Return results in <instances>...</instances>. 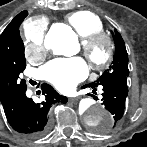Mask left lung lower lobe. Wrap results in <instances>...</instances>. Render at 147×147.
Instances as JSON below:
<instances>
[{
    "instance_id": "1",
    "label": "left lung lower lobe",
    "mask_w": 147,
    "mask_h": 147,
    "mask_svg": "<svg viewBox=\"0 0 147 147\" xmlns=\"http://www.w3.org/2000/svg\"><path fill=\"white\" fill-rule=\"evenodd\" d=\"M100 85L103 88V104L113 115V123L110 128H114L124 113L125 101L128 94L127 76L113 78L102 82ZM86 87L96 91V87L89 86L88 84L82 86V88ZM100 131L104 130L100 129Z\"/></svg>"
}]
</instances>
